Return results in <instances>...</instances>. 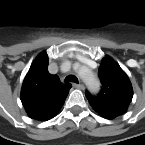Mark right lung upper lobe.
Here are the masks:
<instances>
[{"label": "right lung upper lobe", "mask_w": 145, "mask_h": 145, "mask_svg": "<svg viewBox=\"0 0 145 145\" xmlns=\"http://www.w3.org/2000/svg\"><path fill=\"white\" fill-rule=\"evenodd\" d=\"M71 84L61 83L57 75L48 72L46 52L32 63L21 90V102L30 118L46 121L62 107Z\"/></svg>", "instance_id": "right-lung-upper-lobe-1"}]
</instances>
